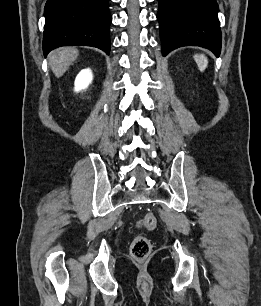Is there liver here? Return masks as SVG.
<instances>
[{
    "instance_id": "liver-1",
    "label": "liver",
    "mask_w": 261,
    "mask_h": 306,
    "mask_svg": "<svg viewBox=\"0 0 261 306\" xmlns=\"http://www.w3.org/2000/svg\"><path fill=\"white\" fill-rule=\"evenodd\" d=\"M78 55V49L72 47L52 51L48 56V61L55 76L57 78L61 77L77 59Z\"/></svg>"
}]
</instances>
